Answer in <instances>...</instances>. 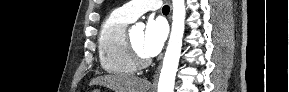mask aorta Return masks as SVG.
<instances>
[{"label": "aorta", "instance_id": "1", "mask_svg": "<svg viewBox=\"0 0 289 92\" xmlns=\"http://www.w3.org/2000/svg\"><path fill=\"white\" fill-rule=\"evenodd\" d=\"M172 6V28L159 77L158 92H173L181 56L186 17L185 0H172Z\"/></svg>", "mask_w": 289, "mask_h": 92}]
</instances>
